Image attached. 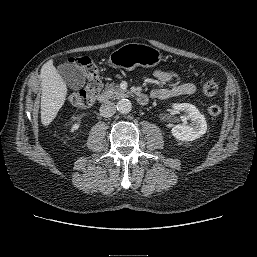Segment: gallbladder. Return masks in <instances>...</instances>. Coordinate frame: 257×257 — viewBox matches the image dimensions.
<instances>
[{"mask_svg":"<svg viewBox=\"0 0 257 257\" xmlns=\"http://www.w3.org/2000/svg\"><path fill=\"white\" fill-rule=\"evenodd\" d=\"M64 82L73 90H79L85 85L83 70L76 64L63 63L57 67Z\"/></svg>","mask_w":257,"mask_h":257,"instance_id":"bac80fb5","label":"gallbladder"}]
</instances>
